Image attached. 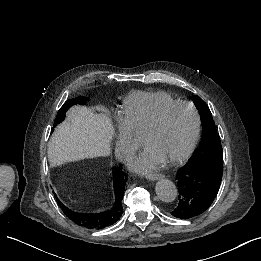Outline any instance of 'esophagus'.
I'll return each instance as SVG.
<instances>
[{"instance_id": "esophagus-1", "label": "esophagus", "mask_w": 261, "mask_h": 261, "mask_svg": "<svg viewBox=\"0 0 261 261\" xmlns=\"http://www.w3.org/2000/svg\"><path fill=\"white\" fill-rule=\"evenodd\" d=\"M162 177H163V175L160 174V173L148 174V175H146V178H147L148 180H157V179H160V178H162Z\"/></svg>"}]
</instances>
